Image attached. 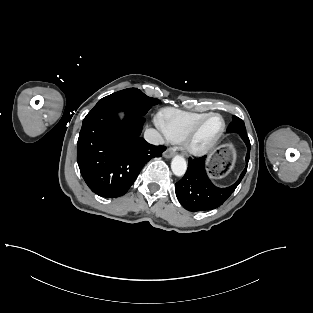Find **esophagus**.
<instances>
[{"instance_id": "esophagus-1", "label": "esophagus", "mask_w": 313, "mask_h": 313, "mask_svg": "<svg viewBox=\"0 0 313 313\" xmlns=\"http://www.w3.org/2000/svg\"><path fill=\"white\" fill-rule=\"evenodd\" d=\"M174 155H175V151H174L173 148H168V149L164 152V154H163V156H164L165 158H171V157H173Z\"/></svg>"}]
</instances>
